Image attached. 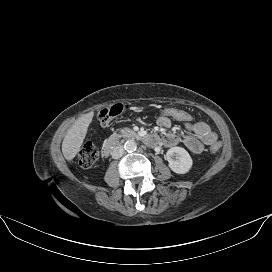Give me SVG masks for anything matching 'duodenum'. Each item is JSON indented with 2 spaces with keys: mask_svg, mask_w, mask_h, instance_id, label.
<instances>
[{
  "mask_svg": "<svg viewBox=\"0 0 272 272\" xmlns=\"http://www.w3.org/2000/svg\"><path fill=\"white\" fill-rule=\"evenodd\" d=\"M134 139L143 140L145 143L151 145V146H157L159 144V138L155 134H145L140 135L137 133L130 135ZM120 137L119 136H112L110 137L103 146V155L109 156L112 151L116 148V146L119 144Z\"/></svg>",
  "mask_w": 272,
  "mask_h": 272,
  "instance_id": "obj_1",
  "label": "duodenum"
}]
</instances>
